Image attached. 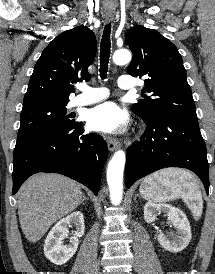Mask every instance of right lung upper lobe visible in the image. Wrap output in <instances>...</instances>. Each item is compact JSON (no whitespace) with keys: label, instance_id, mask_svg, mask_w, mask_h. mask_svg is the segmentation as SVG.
I'll return each instance as SVG.
<instances>
[{"label":"right lung upper lobe","instance_id":"cb5924a9","mask_svg":"<svg viewBox=\"0 0 215 274\" xmlns=\"http://www.w3.org/2000/svg\"><path fill=\"white\" fill-rule=\"evenodd\" d=\"M96 54L94 33L77 26L58 35L42 52L23 100V107L39 103H68L72 83L89 80L88 67Z\"/></svg>","mask_w":215,"mask_h":274}]
</instances>
